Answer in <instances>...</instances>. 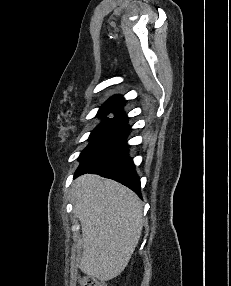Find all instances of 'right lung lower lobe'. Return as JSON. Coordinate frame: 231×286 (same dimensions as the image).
I'll return each mask as SVG.
<instances>
[{
  "label": "right lung lower lobe",
  "instance_id": "1",
  "mask_svg": "<svg viewBox=\"0 0 231 286\" xmlns=\"http://www.w3.org/2000/svg\"><path fill=\"white\" fill-rule=\"evenodd\" d=\"M129 129L127 123L124 124L80 159L74 177L84 173L100 174L124 184L141 196L140 179L132 159L128 157L125 139Z\"/></svg>",
  "mask_w": 231,
  "mask_h": 286
}]
</instances>
